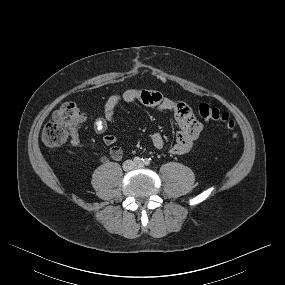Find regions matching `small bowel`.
<instances>
[{
  "mask_svg": "<svg viewBox=\"0 0 285 285\" xmlns=\"http://www.w3.org/2000/svg\"><path fill=\"white\" fill-rule=\"evenodd\" d=\"M132 102H140L143 105L155 107L160 110H168L174 114L180 131L168 148L170 154L181 155L187 153L203 130V124L195 118L192 110L185 103L166 98L157 91L128 89L122 93L114 94L107 99L103 107V115L95 120V133H105L108 125L114 121L115 110L120 103ZM103 142L105 145L110 146V156L113 160L119 161L122 159L123 150L116 144L117 137L114 134H104ZM151 142L157 149H163L166 146V140L159 132L151 135ZM70 143L75 148L80 146L81 140L78 132L71 135Z\"/></svg>",
  "mask_w": 285,
  "mask_h": 285,
  "instance_id": "small-bowel-1",
  "label": "small bowel"
}]
</instances>
